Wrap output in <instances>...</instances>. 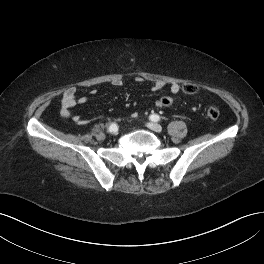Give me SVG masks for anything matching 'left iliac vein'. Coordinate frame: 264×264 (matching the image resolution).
Wrapping results in <instances>:
<instances>
[{
    "label": "left iliac vein",
    "instance_id": "4c4485c4",
    "mask_svg": "<svg viewBox=\"0 0 264 264\" xmlns=\"http://www.w3.org/2000/svg\"><path fill=\"white\" fill-rule=\"evenodd\" d=\"M147 127L149 129H151L152 131H155V132H161L162 131V126L158 123L149 122V123H147Z\"/></svg>",
    "mask_w": 264,
    "mask_h": 264
}]
</instances>
